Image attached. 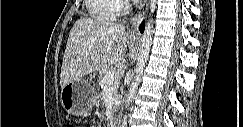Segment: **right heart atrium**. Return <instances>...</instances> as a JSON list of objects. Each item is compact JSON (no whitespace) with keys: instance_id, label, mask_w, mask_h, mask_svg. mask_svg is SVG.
Returning <instances> with one entry per match:
<instances>
[{"instance_id":"1","label":"right heart atrium","mask_w":243,"mask_h":127,"mask_svg":"<svg viewBox=\"0 0 243 127\" xmlns=\"http://www.w3.org/2000/svg\"><path fill=\"white\" fill-rule=\"evenodd\" d=\"M125 4H126L125 1H121V2H120V5H119V8H118V11H122V10H124V9H125Z\"/></svg>"}]
</instances>
